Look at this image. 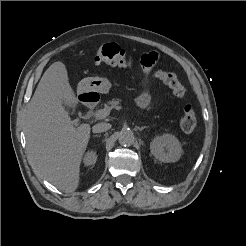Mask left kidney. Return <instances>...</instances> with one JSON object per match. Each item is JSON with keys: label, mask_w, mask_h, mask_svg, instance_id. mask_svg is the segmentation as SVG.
<instances>
[{"label": "left kidney", "mask_w": 246, "mask_h": 246, "mask_svg": "<svg viewBox=\"0 0 246 246\" xmlns=\"http://www.w3.org/2000/svg\"><path fill=\"white\" fill-rule=\"evenodd\" d=\"M150 151L157 160L170 163L180 159L182 147L174 135L164 134L151 141Z\"/></svg>", "instance_id": "obj_1"}]
</instances>
